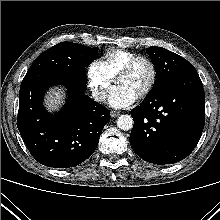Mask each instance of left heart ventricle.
<instances>
[{
  "mask_svg": "<svg viewBox=\"0 0 220 220\" xmlns=\"http://www.w3.org/2000/svg\"><path fill=\"white\" fill-rule=\"evenodd\" d=\"M151 77V70L147 63L140 62L128 74L119 76L116 80L118 85L125 86L138 96L147 86Z\"/></svg>",
  "mask_w": 220,
  "mask_h": 220,
  "instance_id": "b2bd125f",
  "label": "left heart ventricle"
}]
</instances>
